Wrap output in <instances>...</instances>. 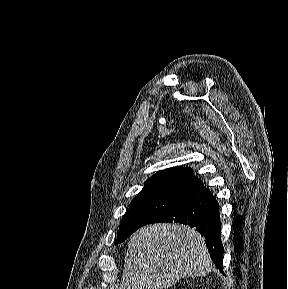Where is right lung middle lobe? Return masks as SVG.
<instances>
[{
  "label": "right lung middle lobe",
  "mask_w": 288,
  "mask_h": 289,
  "mask_svg": "<svg viewBox=\"0 0 288 289\" xmlns=\"http://www.w3.org/2000/svg\"><path fill=\"white\" fill-rule=\"evenodd\" d=\"M186 190L174 188H154L142 190L131 202L123 216L115 244L123 242L134 231L159 217L180 199Z\"/></svg>",
  "instance_id": "1"
}]
</instances>
